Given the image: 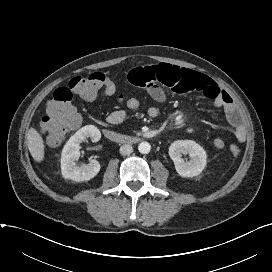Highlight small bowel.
Instances as JSON below:
<instances>
[{"instance_id":"obj_1","label":"small bowel","mask_w":272,"mask_h":272,"mask_svg":"<svg viewBox=\"0 0 272 272\" xmlns=\"http://www.w3.org/2000/svg\"><path fill=\"white\" fill-rule=\"evenodd\" d=\"M127 78L132 85L147 90L158 101H164L167 90L176 94L196 93L212 101L216 107L223 109L229 124L234 128L235 141L229 149L233 155L238 154L240 145L246 139V130L240 113L231 96L210 78L196 71L170 64L139 66L131 69ZM147 112L151 118H156L159 114L154 106L149 107ZM127 114L128 109H118L111 112L106 121L116 125L124 121ZM198 130L199 127L191 126L186 128L185 132L194 133Z\"/></svg>"}]
</instances>
